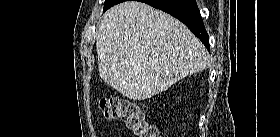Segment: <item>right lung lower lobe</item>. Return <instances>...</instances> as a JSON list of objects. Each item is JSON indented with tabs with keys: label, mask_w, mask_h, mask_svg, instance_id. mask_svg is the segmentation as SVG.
<instances>
[{
	"label": "right lung lower lobe",
	"mask_w": 280,
	"mask_h": 137,
	"mask_svg": "<svg viewBox=\"0 0 280 137\" xmlns=\"http://www.w3.org/2000/svg\"><path fill=\"white\" fill-rule=\"evenodd\" d=\"M125 1V0H124ZM169 13L183 22L210 50L209 36L205 30L196 0H137Z\"/></svg>",
	"instance_id": "obj_1"
}]
</instances>
